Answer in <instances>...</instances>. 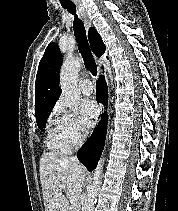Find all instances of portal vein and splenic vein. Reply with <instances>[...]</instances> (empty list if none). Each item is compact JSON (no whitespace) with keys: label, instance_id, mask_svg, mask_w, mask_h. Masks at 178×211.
<instances>
[{"label":"portal vein and splenic vein","instance_id":"1","mask_svg":"<svg viewBox=\"0 0 178 211\" xmlns=\"http://www.w3.org/2000/svg\"><path fill=\"white\" fill-rule=\"evenodd\" d=\"M59 189H60V190H66V186L60 184V185H59ZM77 201H78V198H77L76 195H71V196H70V203L72 204V206H77Z\"/></svg>","mask_w":178,"mask_h":211}]
</instances>
